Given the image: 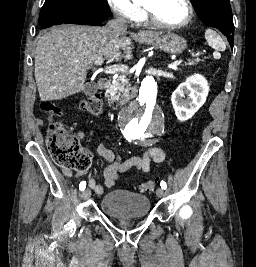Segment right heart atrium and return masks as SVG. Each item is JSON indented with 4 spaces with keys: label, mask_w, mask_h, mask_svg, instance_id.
Listing matches in <instances>:
<instances>
[{
    "label": "right heart atrium",
    "mask_w": 256,
    "mask_h": 267,
    "mask_svg": "<svg viewBox=\"0 0 256 267\" xmlns=\"http://www.w3.org/2000/svg\"><path fill=\"white\" fill-rule=\"evenodd\" d=\"M142 15H143V7L140 4H135L134 6L131 7V10L128 14L123 16L120 15L118 16L124 18L126 21L133 22L142 17Z\"/></svg>",
    "instance_id": "d8ad5b80"
}]
</instances>
